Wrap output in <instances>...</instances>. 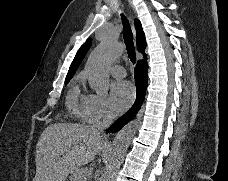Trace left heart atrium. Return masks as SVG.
<instances>
[{
	"label": "left heart atrium",
	"mask_w": 228,
	"mask_h": 181,
	"mask_svg": "<svg viewBox=\"0 0 228 181\" xmlns=\"http://www.w3.org/2000/svg\"><path fill=\"white\" fill-rule=\"evenodd\" d=\"M134 89L130 82L119 80L113 83L111 88L112 107L114 109H123L133 98Z\"/></svg>",
	"instance_id": "1"
}]
</instances>
